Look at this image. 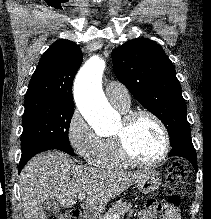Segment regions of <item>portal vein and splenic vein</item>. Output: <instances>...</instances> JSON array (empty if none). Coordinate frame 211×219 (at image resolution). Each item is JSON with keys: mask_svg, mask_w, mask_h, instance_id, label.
Listing matches in <instances>:
<instances>
[{"mask_svg": "<svg viewBox=\"0 0 211 219\" xmlns=\"http://www.w3.org/2000/svg\"><path fill=\"white\" fill-rule=\"evenodd\" d=\"M78 198L80 200H84L86 198V194L85 193L78 194ZM111 219H119V217H112Z\"/></svg>", "mask_w": 211, "mask_h": 219, "instance_id": "obj_1", "label": "portal vein and splenic vein"}]
</instances>
